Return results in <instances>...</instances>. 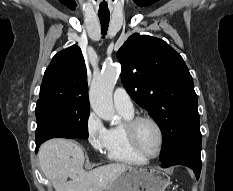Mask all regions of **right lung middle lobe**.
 Returning a JSON list of instances; mask_svg holds the SVG:
<instances>
[{"mask_svg":"<svg viewBox=\"0 0 233 191\" xmlns=\"http://www.w3.org/2000/svg\"><path fill=\"white\" fill-rule=\"evenodd\" d=\"M36 142L54 137L88 138L89 108L58 102H37Z\"/></svg>","mask_w":233,"mask_h":191,"instance_id":"right-lung-middle-lobe-1","label":"right lung middle lobe"}]
</instances>
